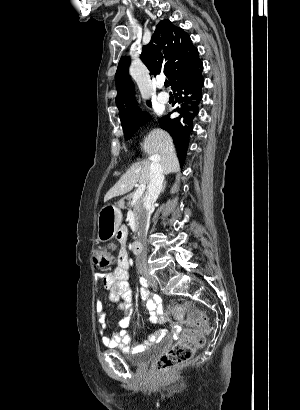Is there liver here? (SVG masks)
Masks as SVG:
<instances>
[{
    "label": "liver",
    "instance_id": "liver-1",
    "mask_svg": "<svg viewBox=\"0 0 300 410\" xmlns=\"http://www.w3.org/2000/svg\"><path fill=\"white\" fill-rule=\"evenodd\" d=\"M143 151L148 155V159L133 164L106 193L105 202L130 192L137 183L148 185L152 160L160 163L165 174L180 170L172 137L165 131L161 129L151 131L144 140Z\"/></svg>",
    "mask_w": 300,
    "mask_h": 410
}]
</instances>
